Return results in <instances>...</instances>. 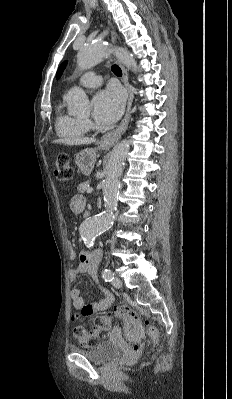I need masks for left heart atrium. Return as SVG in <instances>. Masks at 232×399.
I'll use <instances>...</instances> for the list:
<instances>
[{
  "label": "left heart atrium",
  "mask_w": 232,
  "mask_h": 399,
  "mask_svg": "<svg viewBox=\"0 0 232 399\" xmlns=\"http://www.w3.org/2000/svg\"><path fill=\"white\" fill-rule=\"evenodd\" d=\"M93 118L100 124L115 123L124 110V97L119 89L110 87L100 92L93 102Z\"/></svg>",
  "instance_id": "39dd6f15"
}]
</instances>
